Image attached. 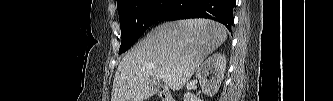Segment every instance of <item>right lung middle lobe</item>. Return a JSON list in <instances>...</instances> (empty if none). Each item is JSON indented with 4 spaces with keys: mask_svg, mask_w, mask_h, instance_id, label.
I'll return each instance as SVG.
<instances>
[{
    "mask_svg": "<svg viewBox=\"0 0 333 101\" xmlns=\"http://www.w3.org/2000/svg\"><path fill=\"white\" fill-rule=\"evenodd\" d=\"M169 0H119L122 42L119 54L128 50L149 28L159 21Z\"/></svg>",
    "mask_w": 333,
    "mask_h": 101,
    "instance_id": "right-lung-middle-lobe-1",
    "label": "right lung middle lobe"
}]
</instances>
